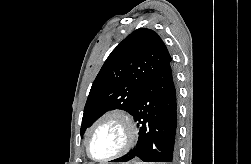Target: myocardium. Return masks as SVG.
<instances>
[{
	"label": "myocardium",
	"instance_id": "f54148a6",
	"mask_svg": "<svg viewBox=\"0 0 251 164\" xmlns=\"http://www.w3.org/2000/svg\"><path fill=\"white\" fill-rule=\"evenodd\" d=\"M110 119H115L123 125L125 129V133H126L125 142L123 146L121 147V149L118 150L116 153L110 156H107L105 158H95L91 155L90 149H89V142H90L91 136L93 132L95 131V129L100 124ZM137 139H138V128H137L134 118L124 109H120V108L112 109L110 111H107L103 115H101L88 129L86 139H85L86 154L94 162L104 163L111 160H115L127 154L135 146Z\"/></svg>",
	"mask_w": 251,
	"mask_h": 164
}]
</instances>
